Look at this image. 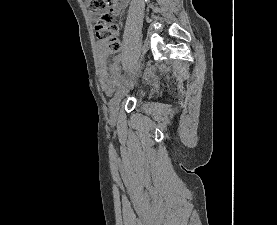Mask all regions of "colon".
I'll return each mask as SVG.
<instances>
[{
  "mask_svg": "<svg viewBox=\"0 0 277 225\" xmlns=\"http://www.w3.org/2000/svg\"><path fill=\"white\" fill-rule=\"evenodd\" d=\"M118 0H85L86 6L97 12L102 22L97 26V37L103 42L104 51L107 54L116 53L120 49L118 38L119 28L113 23V18L109 12L113 3Z\"/></svg>",
  "mask_w": 277,
  "mask_h": 225,
  "instance_id": "5ec220e1",
  "label": "colon"
}]
</instances>
